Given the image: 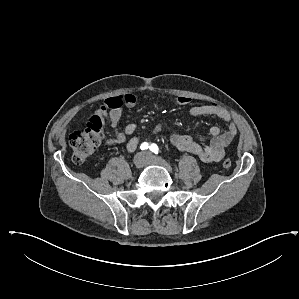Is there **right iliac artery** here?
Wrapping results in <instances>:
<instances>
[{
    "label": "right iliac artery",
    "instance_id": "1",
    "mask_svg": "<svg viewBox=\"0 0 299 299\" xmlns=\"http://www.w3.org/2000/svg\"><path fill=\"white\" fill-rule=\"evenodd\" d=\"M148 148H149V144L147 142L142 143L140 146L141 150H147Z\"/></svg>",
    "mask_w": 299,
    "mask_h": 299
}]
</instances>
